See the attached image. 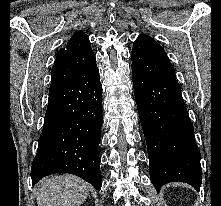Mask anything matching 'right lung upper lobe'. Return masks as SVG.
<instances>
[{
  "label": "right lung upper lobe",
  "instance_id": "cb5924a9",
  "mask_svg": "<svg viewBox=\"0 0 221 206\" xmlns=\"http://www.w3.org/2000/svg\"><path fill=\"white\" fill-rule=\"evenodd\" d=\"M96 64L89 37L82 31L74 34L67 45L60 49L51 71L50 87L67 81Z\"/></svg>",
  "mask_w": 221,
  "mask_h": 206
}]
</instances>
